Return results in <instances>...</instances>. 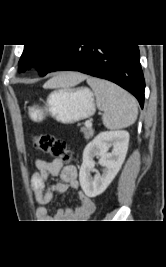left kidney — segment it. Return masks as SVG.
Instances as JSON below:
<instances>
[{
	"label": "left kidney",
	"mask_w": 166,
	"mask_h": 267,
	"mask_svg": "<svg viewBox=\"0 0 166 267\" xmlns=\"http://www.w3.org/2000/svg\"><path fill=\"white\" fill-rule=\"evenodd\" d=\"M129 133L124 130H112L99 133L84 149L83 163L79 172L82 190L88 197L103 193L119 172L128 150ZM113 147L109 153V149ZM104 167L102 175L91 176L95 166L94 157Z\"/></svg>",
	"instance_id": "5707ae66"
}]
</instances>
